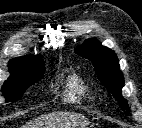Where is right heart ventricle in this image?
I'll list each match as a JSON object with an SVG mask.
<instances>
[{
	"mask_svg": "<svg viewBox=\"0 0 142 128\" xmlns=\"http://www.w3.org/2000/svg\"><path fill=\"white\" fill-rule=\"evenodd\" d=\"M90 97V90L85 82L76 74L70 75L65 84V98L80 102Z\"/></svg>",
	"mask_w": 142,
	"mask_h": 128,
	"instance_id": "e07e8e85",
	"label": "right heart ventricle"
}]
</instances>
